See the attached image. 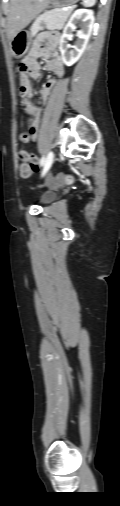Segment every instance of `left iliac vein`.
Listing matches in <instances>:
<instances>
[{
	"mask_svg": "<svg viewBox=\"0 0 120 506\" xmlns=\"http://www.w3.org/2000/svg\"><path fill=\"white\" fill-rule=\"evenodd\" d=\"M53 161H54V155L52 152H49V154L47 155V158H46L45 165H44L43 174H44V171L47 172L50 169Z\"/></svg>",
	"mask_w": 120,
	"mask_h": 506,
	"instance_id": "obj_1",
	"label": "left iliac vein"
}]
</instances>
